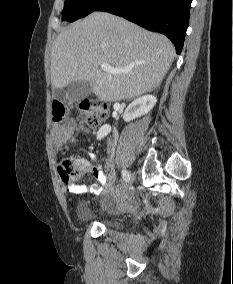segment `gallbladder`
I'll return each mask as SVG.
<instances>
[{"mask_svg":"<svg viewBox=\"0 0 233 284\" xmlns=\"http://www.w3.org/2000/svg\"><path fill=\"white\" fill-rule=\"evenodd\" d=\"M91 93L92 85L90 82L74 81L67 86L66 90L56 89L54 97L60 101L73 103L87 97Z\"/></svg>","mask_w":233,"mask_h":284,"instance_id":"1","label":"gallbladder"}]
</instances>
